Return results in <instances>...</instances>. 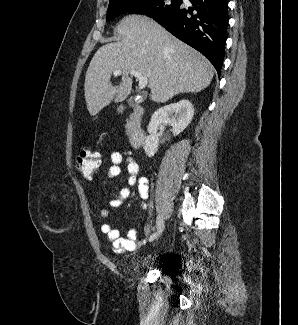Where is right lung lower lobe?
<instances>
[{"label": "right lung lower lobe", "mask_w": 298, "mask_h": 325, "mask_svg": "<svg viewBox=\"0 0 298 325\" xmlns=\"http://www.w3.org/2000/svg\"><path fill=\"white\" fill-rule=\"evenodd\" d=\"M189 1L192 7L173 8L153 19L206 56L220 74L229 21L228 0Z\"/></svg>", "instance_id": "98d812e1"}]
</instances>
